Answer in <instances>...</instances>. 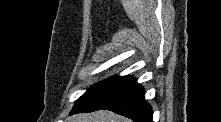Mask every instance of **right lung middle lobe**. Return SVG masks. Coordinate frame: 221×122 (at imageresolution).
Segmentation results:
<instances>
[{"instance_id":"right-lung-middle-lobe-1","label":"right lung middle lobe","mask_w":221,"mask_h":122,"mask_svg":"<svg viewBox=\"0 0 221 122\" xmlns=\"http://www.w3.org/2000/svg\"><path fill=\"white\" fill-rule=\"evenodd\" d=\"M125 77H111L108 78L102 82H99L97 84H95L94 86H92L85 94H83L77 102H81V101H85L89 98H92L93 96L109 89L110 87L114 86L115 84H117L118 82H120L121 80H123Z\"/></svg>"}]
</instances>
